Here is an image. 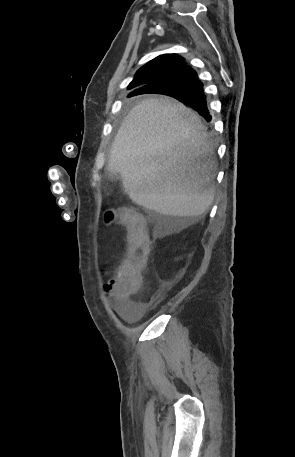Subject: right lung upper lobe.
I'll return each mask as SVG.
<instances>
[{"label":"right lung upper lobe","mask_w":295,"mask_h":457,"mask_svg":"<svg viewBox=\"0 0 295 457\" xmlns=\"http://www.w3.org/2000/svg\"><path fill=\"white\" fill-rule=\"evenodd\" d=\"M186 67L184 58L176 54L160 55L143 67L135 74L133 81L129 84L128 89L135 88L133 92L141 88L167 82L176 78Z\"/></svg>","instance_id":"obj_1"}]
</instances>
